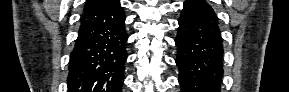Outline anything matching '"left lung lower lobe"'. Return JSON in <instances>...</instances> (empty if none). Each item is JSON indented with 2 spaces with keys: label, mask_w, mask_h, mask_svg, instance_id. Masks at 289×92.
Returning a JSON list of instances; mask_svg holds the SVG:
<instances>
[{
  "label": "left lung lower lobe",
  "mask_w": 289,
  "mask_h": 92,
  "mask_svg": "<svg viewBox=\"0 0 289 92\" xmlns=\"http://www.w3.org/2000/svg\"><path fill=\"white\" fill-rule=\"evenodd\" d=\"M182 92H219L223 45L218 20L205 0H186L175 39Z\"/></svg>",
  "instance_id": "left-lung-lower-lobe-1"
}]
</instances>
